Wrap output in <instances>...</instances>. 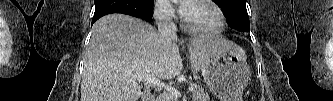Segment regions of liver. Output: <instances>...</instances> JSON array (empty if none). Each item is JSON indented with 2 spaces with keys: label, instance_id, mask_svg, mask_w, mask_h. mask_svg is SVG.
Returning <instances> with one entry per match:
<instances>
[{
  "label": "liver",
  "instance_id": "6515ba94",
  "mask_svg": "<svg viewBox=\"0 0 333 101\" xmlns=\"http://www.w3.org/2000/svg\"><path fill=\"white\" fill-rule=\"evenodd\" d=\"M208 40L193 39L188 45L194 72L214 52ZM178 45H165L149 23L123 15L110 14L92 28L81 82V101H137L143 85L133 75L171 79L181 73Z\"/></svg>",
  "mask_w": 333,
  "mask_h": 101
}]
</instances>
